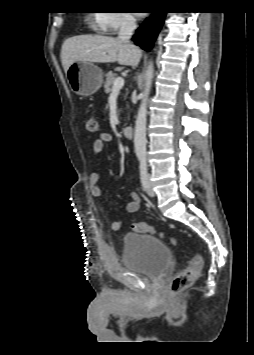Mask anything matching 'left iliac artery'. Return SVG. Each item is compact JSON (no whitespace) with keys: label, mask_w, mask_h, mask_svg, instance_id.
Segmentation results:
<instances>
[{"label":"left iliac artery","mask_w":254,"mask_h":355,"mask_svg":"<svg viewBox=\"0 0 254 355\" xmlns=\"http://www.w3.org/2000/svg\"><path fill=\"white\" fill-rule=\"evenodd\" d=\"M140 176H141L142 186L144 189H146L148 173H147V163H146L145 156L140 157Z\"/></svg>","instance_id":"left-iliac-artery-1"}]
</instances>
